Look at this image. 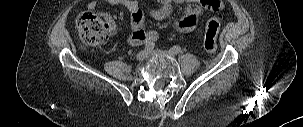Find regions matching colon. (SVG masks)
I'll return each mask as SVG.
<instances>
[{
	"label": "colon",
	"mask_w": 303,
	"mask_h": 127,
	"mask_svg": "<svg viewBox=\"0 0 303 127\" xmlns=\"http://www.w3.org/2000/svg\"><path fill=\"white\" fill-rule=\"evenodd\" d=\"M76 28L82 44L86 47L100 45L110 35V27L91 11L83 12L78 16ZM219 28L218 16L211 17L206 23L203 47L208 53H214L217 49L216 38Z\"/></svg>",
	"instance_id": "5ec220e1"
}]
</instances>
